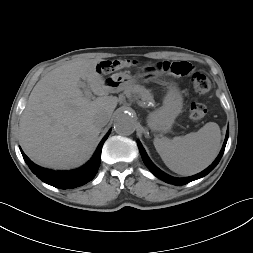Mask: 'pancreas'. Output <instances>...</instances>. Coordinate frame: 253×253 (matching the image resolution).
<instances>
[{
    "mask_svg": "<svg viewBox=\"0 0 253 253\" xmlns=\"http://www.w3.org/2000/svg\"><path fill=\"white\" fill-rule=\"evenodd\" d=\"M124 93L126 95L134 94L137 99H141L142 106H147L148 103L154 101L150 91L140 85L131 86L125 89Z\"/></svg>",
    "mask_w": 253,
    "mask_h": 253,
    "instance_id": "pancreas-1",
    "label": "pancreas"
}]
</instances>
